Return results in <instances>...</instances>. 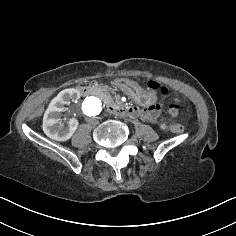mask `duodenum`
Instances as JSON below:
<instances>
[{"label": "duodenum", "instance_id": "duodenum-1", "mask_svg": "<svg viewBox=\"0 0 236 236\" xmlns=\"http://www.w3.org/2000/svg\"><path fill=\"white\" fill-rule=\"evenodd\" d=\"M79 92L83 96H89L92 94V89L87 85H82L79 87ZM112 112L124 117H134L140 113V111L132 106H122L111 108Z\"/></svg>", "mask_w": 236, "mask_h": 236}]
</instances>
